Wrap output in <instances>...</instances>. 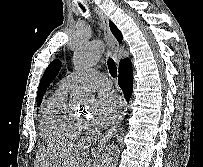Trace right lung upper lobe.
I'll return each instance as SVG.
<instances>
[{
  "label": "right lung upper lobe",
  "mask_w": 203,
  "mask_h": 167,
  "mask_svg": "<svg viewBox=\"0 0 203 167\" xmlns=\"http://www.w3.org/2000/svg\"><path fill=\"white\" fill-rule=\"evenodd\" d=\"M109 25H110V30H111V32L113 33V35L116 37V39H117L118 42L120 43V42L122 41V34H121V32H120L119 29L114 25L113 22L110 21ZM126 59H129V58H126ZM126 59H124V60H126ZM121 61H123V60H121ZM121 61H120V62H121Z\"/></svg>",
  "instance_id": "1"
}]
</instances>
